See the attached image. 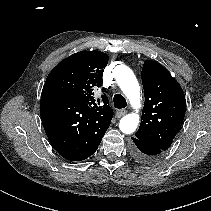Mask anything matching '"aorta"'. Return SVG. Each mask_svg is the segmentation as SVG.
<instances>
[{
  "label": "aorta",
  "mask_w": 211,
  "mask_h": 211,
  "mask_svg": "<svg viewBox=\"0 0 211 211\" xmlns=\"http://www.w3.org/2000/svg\"><path fill=\"white\" fill-rule=\"evenodd\" d=\"M114 76L132 107L138 109L141 101L140 86L134 73L126 66H117L114 69ZM138 124L139 115L137 113H131L121 118L119 128L122 133L131 134L137 129Z\"/></svg>",
  "instance_id": "aorta-1"
}]
</instances>
